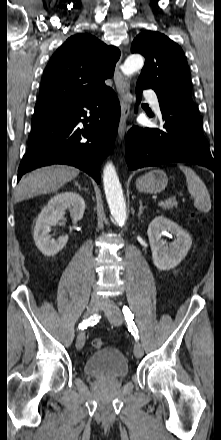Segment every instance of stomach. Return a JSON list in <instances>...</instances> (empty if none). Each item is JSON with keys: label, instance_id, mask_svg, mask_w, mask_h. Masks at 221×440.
Masks as SVG:
<instances>
[{"label": "stomach", "instance_id": "obj_1", "mask_svg": "<svg viewBox=\"0 0 221 440\" xmlns=\"http://www.w3.org/2000/svg\"><path fill=\"white\" fill-rule=\"evenodd\" d=\"M168 183L166 173L160 169H154L136 180V188L144 193H159L165 189Z\"/></svg>", "mask_w": 221, "mask_h": 440}]
</instances>
